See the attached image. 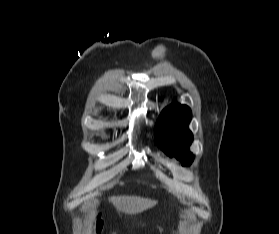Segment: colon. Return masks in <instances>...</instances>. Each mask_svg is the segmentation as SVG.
Returning <instances> with one entry per match:
<instances>
[{
    "label": "colon",
    "mask_w": 279,
    "mask_h": 234,
    "mask_svg": "<svg viewBox=\"0 0 279 234\" xmlns=\"http://www.w3.org/2000/svg\"><path fill=\"white\" fill-rule=\"evenodd\" d=\"M94 224H95V234H104L106 232L104 221L100 217H97L95 219ZM107 234H113V233H107Z\"/></svg>",
    "instance_id": "obj_1"
}]
</instances>
